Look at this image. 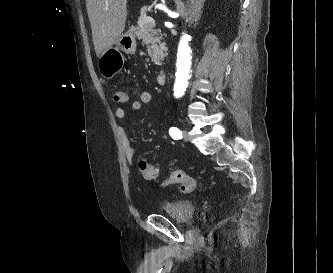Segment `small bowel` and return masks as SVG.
Masks as SVG:
<instances>
[{
    "instance_id": "small-bowel-1",
    "label": "small bowel",
    "mask_w": 333,
    "mask_h": 273,
    "mask_svg": "<svg viewBox=\"0 0 333 273\" xmlns=\"http://www.w3.org/2000/svg\"><path fill=\"white\" fill-rule=\"evenodd\" d=\"M152 99V93L148 90H144L140 92L137 100L131 102V108L134 111H140L143 105L151 103ZM115 115L118 119H125L128 115L127 108L124 106H118L115 109ZM120 137L125 157L130 164H133L136 160V149L131 141V138L123 128L120 129ZM137 165L139 168V162Z\"/></svg>"
}]
</instances>
